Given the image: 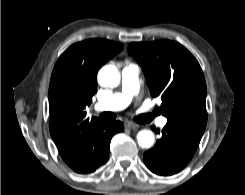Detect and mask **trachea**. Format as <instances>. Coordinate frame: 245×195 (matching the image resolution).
<instances>
[{"instance_id":"1","label":"trachea","mask_w":245,"mask_h":195,"mask_svg":"<svg viewBox=\"0 0 245 195\" xmlns=\"http://www.w3.org/2000/svg\"><path fill=\"white\" fill-rule=\"evenodd\" d=\"M154 114H144L136 118L137 122H148L153 118ZM100 117L104 120H113L116 118V115L112 112H103L100 114Z\"/></svg>"}]
</instances>
